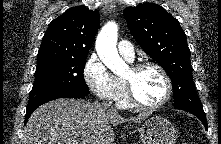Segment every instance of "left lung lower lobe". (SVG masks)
<instances>
[{"label":"left lung lower lobe","instance_id":"0a47b994","mask_svg":"<svg viewBox=\"0 0 221 144\" xmlns=\"http://www.w3.org/2000/svg\"><path fill=\"white\" fill-rule=\"evenodd\" d=\"M176 109H181V110L187 111L191 114H194L196 117H198L200 119V121L207 128L206 117H205L204 111H198V110L187 109V108H176Z\"/></svg>","mask_w":221,"mask_h":144}]
</instances>
